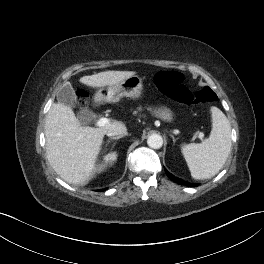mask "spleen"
<instances>
[{"label": "spleen", "mask_w": 264, "mask_h": 264, "mask_svg": "<svg viewBox=\"0 0 264 264\" xmlns=\"http://www.w3.org/2000/svg\"><path fill=\"white\" fill-rule=\"evenodd\" d=\"M212 130L202 143L183 144L181 152L194 179H209L225 164L231 151V126L225 114L211 107Z\"/></svg>", "instance_id": "spleen-1"}]
</instances>
